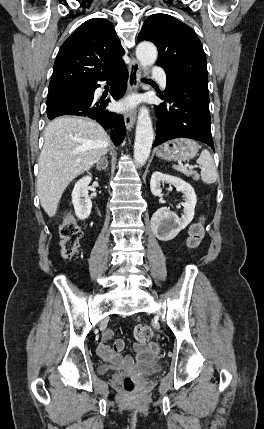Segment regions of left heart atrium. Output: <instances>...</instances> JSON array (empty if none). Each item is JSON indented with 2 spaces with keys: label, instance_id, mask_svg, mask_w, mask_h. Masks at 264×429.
Returning a JSON list of instances; mask_svg holds the SVG:
<instances>
[{
  "label": "left heart atrium",
  "instance_id": "obj_1",
  "mask_svg": "<svg viewBox=\"0 0 264 429\" xmlns=\"http://www.w3.org/2000/svg\"><path fill=\"white\" fill-rule=\"evenodd\" d=\"M135 104H136V99L132 98L120 103L119 108L121 110H128L133 108Z\"/></svg>",
  "mask_w": 264,
  "mask_h": 429
}]
</instances>
